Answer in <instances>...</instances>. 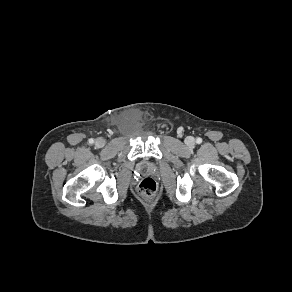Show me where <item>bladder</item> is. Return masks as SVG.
Returning <instances> with one entry per match:
<instances>
[{
    "mask_svg": "<svg viewBox=\"0 0 292 292\" xmlns=\"http://www.w3.org/2000/svg\"><path fill=\"white\" fill-rule=\"evenodd\" d=\"M142 167H143V168H146V167H147V165H146V164H143V165H142Z\"/></svg>",
    "mask_w": 292,
    "mask_h": 292,
    "instance_id": "obj_1",
    "label": "bladder"
}]
</instances>
